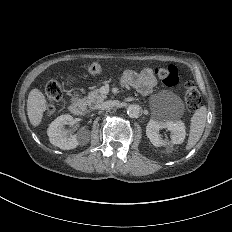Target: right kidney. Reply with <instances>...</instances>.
Instances as JSON below:
<instances>
[{
    "label": "right kidney",
    "instance_id": "obj_1",
    "mask_svg": "<svg viewBox=\"0 0 232 232\" xmlns=\"http://www.w3.org/2000/svg\"><path fill=\"white\" fill-rule=\"evenodd\" d=\"M73 117L65 114L57 117L47 129L49 140L55 146L61 149H72L77 145H86L89 142V137L78 132L76 135H71L63 129L64 125H71Z\"/></svg>",
    "mask_w": 232,
    "mask_h": 232
}]
</instances>
